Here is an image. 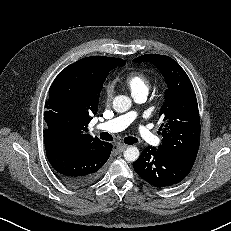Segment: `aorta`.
I'll return each mask as SVG.
<instances>
[{
  "mask_svg": "<svg viewBox=\"0 0 231 231\" xmlns=\"http://www.w3.org/2000/svg\"><path fill=\"white\" fill-rule=\"evenodd\" d=\"M132 101L128 96L119 95L113 100V108L118 113L126 112L130 109ZM140 156L139 149L135 146H130L124 151V158L128 162L136 161Z\"/></svg>",
  "mask_w": 231,
  "mask_h": 231,
  "instance_id": "762f6f07",
  "label": "aorta"
}]
</instances>
